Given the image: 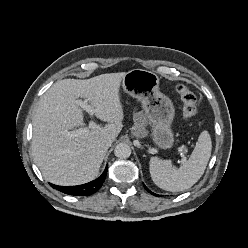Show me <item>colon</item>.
<instances>
[{
    "label": "colon",
    "instance_id": "5ec220e1",
    "mask_svg": "<svg viewBox=\"0 0 248 248\" xmlns=\"http://www.w3.org/2000/svg\"><path fill=\"white\" fill-rule=\"evenodd\" d=\"M176 92L183 102L184 119H192L197 113V98L195 94L184 84H178L176 86Z\"/></svg>",
    "mask_w": 248,
    "mask_h": 248
}]
</instances>
